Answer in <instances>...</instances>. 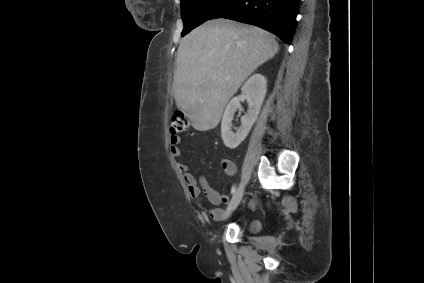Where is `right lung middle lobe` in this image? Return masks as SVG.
Returning a JSON list of instances; mask_svg holds the SVG:
<instances>
[{"label": "right lung middle lobe", "instance_id": "right-lung-middle-lobe-1", "mask_svg": "<svg viewBox=\"0 0 424 283\" xmlns=\"http://www.w3.org/2000/svg\"><path fill=\"white\" fill-rule=\"evenodd\" d=\"M228 0H181L182 36L209 20Z\"/></svg>", "mask_w": 424, "mask_h": 283}]
</instances>
